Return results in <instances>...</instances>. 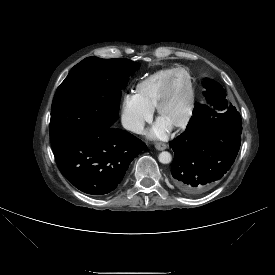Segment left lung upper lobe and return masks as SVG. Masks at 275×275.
<instances>
[{"label": "left lung upper lobe", "mask_w": 275, "mask_h": 275, "mask_svg": "<svg viewBox=\"0 0 275 275\" xmlns=\"http://www.w3.org/2000/svg\"><path fill=\"white\" fill-rule=\"evenodd\" d=\"M203 85L206 89L204 96L208 104H199L194 107L193 117L187 128L215 122L234 130L242 131L241 116L234 106L231 104L227 106L225 92L221 85L209 79H205Z\"/></svg>", "instance_id": "1"}]
</instances>
